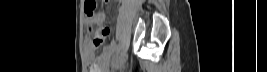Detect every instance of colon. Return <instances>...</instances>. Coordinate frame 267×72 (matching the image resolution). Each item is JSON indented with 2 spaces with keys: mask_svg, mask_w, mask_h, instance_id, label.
<instances>
[{
  "mask_svg": "<svg viewBox=\"0 0 267 72\" xmlns=\"http://www.w3.org/2000/svg\"><path fill=\"white\" fill-rule=\"evenodd\" d=\"M99 5V1L96 0H89L85 6V12L87 15L92 16L97 10V7ZM105 33L103 30L97 29L94 32L93 35V43L96 47L100 46L103 44L104 39H105Z\"/></svg>",
  "mask_w": 267,
  "mask_h": 72,
  "instance_id": "obj_1",
  "label": "colon"
}]
</instances>
